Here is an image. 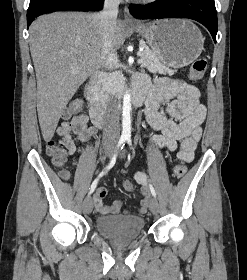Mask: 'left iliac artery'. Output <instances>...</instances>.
<instances>
[{"label": "left iliac artery", "mask_w": 247, "mask_h": 280, "mask_svg": "<svg viewBox=\"0 0 247 280\" xmlns=\"http://www.w3.org/2000/svg\"><path fill=\"white\" fill-rule=\"evenodd\" d=\"M126 140H127L128 144H129L130 146H132L131 138H130V137H127ZM150 191H151V194L156 198L155 189H154V187H153L151 184H150Z\"/></svg>", "instance_id": "44dca946"}]
</instances>
